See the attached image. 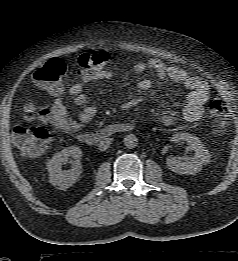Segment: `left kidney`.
<instances>
[{
    "mask_svg": "<svg viewBox=\"0 0 238 261\" xmlns=\"http://www.w3.org/2000/svg\"><path fill=\"white\" fill-rule=\"evenodd\" d=\"M173 142L185 141L190 150H193L194 156L189 161L182 162L180 157L169 156L166 160L167 167L178 174L194 175L202 167L209 163L210 153L202 142L189 133H176L172 137Z\"/></svg>",
    "mask_w": 238,
    "mask_h": 261,
    "instance_id": "1",
    "label": "left kidney"
}]
</instances>
